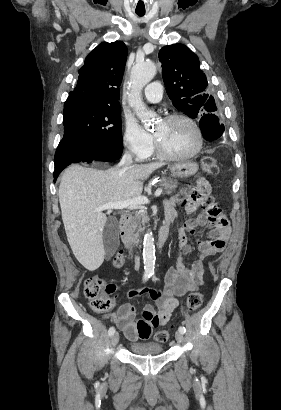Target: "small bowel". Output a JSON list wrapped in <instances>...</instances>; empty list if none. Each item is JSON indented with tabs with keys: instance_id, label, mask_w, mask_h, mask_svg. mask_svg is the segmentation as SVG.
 Segmentation results:
<instances>
[{
	"instance_id": "1",
	"label": "small bowel",
	"mask_w": 281,
	"mask_h": 410,
	"mask_svg": "<svg viewBox=\"0 0 281 410\" xmlns=\"http://www.w3.org/2000/svg\"><path fill=\"white\" fill-rule=\"evenodd\" d=\"M210 186L204 178H198L194 191L188 195L179 194L165 201V221L169 227L177 217V207H182L187 214L195 212L202 197L208 195ZM208 228L206 239L199 235V228ZM230 227L224 216L212 217L207 213L189 217L177 228L179 255L177 262L165 275L163 291L145 287L127 289L123 292L129 298L149 297L156 306L146 304L143 318L136 319L135 308L130 303L122 304L113 315V320L130 341L148 340L154 327L166 324L178 307V297L196 290L203 284L204 268L202 261L211 255L221 253L230 236ZM194 237V245L188 236ZM195 252L197 259L185 261V256ZM121 267V266H120ZM118 293H121L118 291Z\"/></svg>"
}]
</instances>
